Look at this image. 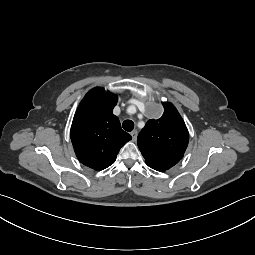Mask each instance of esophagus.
Listing matches in <instances>:
<instances>
[{"instance_id":"obj_1","label":"esophagus","mask_w":255,"mask_h":255,"mask_svg":"<svg viewBox=\"0 0 255 255\" xmlns=\"http://www.w3.org/2000/svg\"><path fill=\"white\" fill-rule=\"evenodd\" d=\"M130 134H131V136H132V140H133V141H136V139H137V134H138L137 131H136V130H133Z\"/></svg>"}]
</instances>
